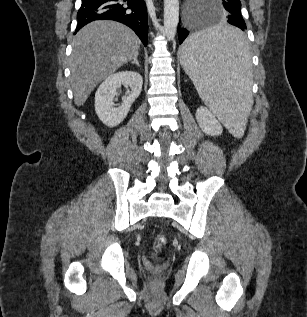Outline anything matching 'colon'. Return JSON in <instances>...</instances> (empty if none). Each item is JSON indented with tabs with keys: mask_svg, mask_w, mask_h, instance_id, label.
I'll list each match as a JSON object with an SVG mask.
<instances>
[{
	"mask_svg": "<svg viewBox=\"0 0 307 317\" xmlns=\"http://www.w3.org/2000/svg\"><path fill=\"white\" fill-rule=\"evenodd\" d=\"M165 239L163 237H158L154 242V250L160 251L164 246Z\"/></svg>",
	"mask_w": 307,
	"mask_h": 317,
	"instance_id": "1",
	"label": "colon"
}]
</instances>
